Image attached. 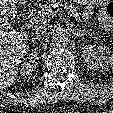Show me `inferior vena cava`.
<instances>
[{
  "label": "inferior vena cava",
  "mask_w": 113,
  "mask_h": 113,
  "mask_svg": "<svg viewBox=\"0 0 113 113\" xmlns=\"http://www.w3.org/2000/svg\"><path fill=\"white\" fill-rule=\"evenodd\" d=\"M50 28H51L50 24L46 23V24L39 25L38 27H35L33 29V32L37 35H41V34H44Z\"/></svg>",
  "instance_id": "obj_1"
}]
</instances>
